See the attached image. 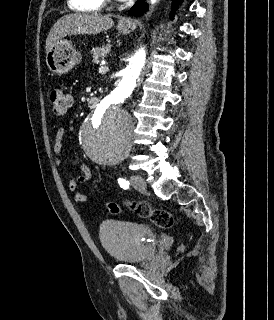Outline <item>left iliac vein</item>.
Masks as SVG:
<instances>
[{
    "mask_svg": "<svg viewBox=\"0 0 274 320\" xmlns=\"http://www.w3.org/2000/svg\"><path fill=\"white\" fill-rule=\"evenodd\" d=\"M130 183L135 189H137L139 191H144L146 189V182L139 175H131L130 176Z\"/></svg>",
    "mask_w": 274,
    "mask_h": 320,
    "instance_id": "obj_1",
    "label": "left iliac vein"
}]
</instances>
